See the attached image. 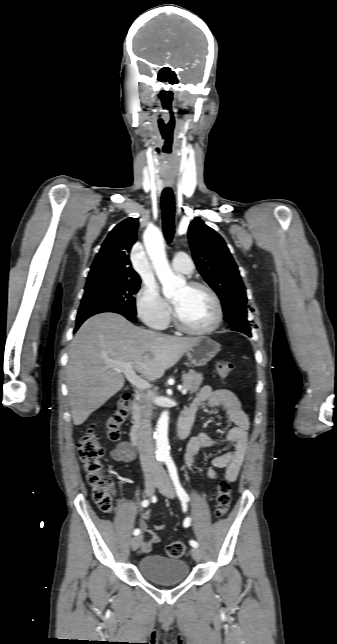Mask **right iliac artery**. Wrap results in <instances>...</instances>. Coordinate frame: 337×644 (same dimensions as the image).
Returning a JSON list of instances; mask_svg holds the SVG:
<instances>
[{"label":"right iliac artery","mask_w":337,"mask_h":644,"mask_svg":"<svg viewBox=\"0 0 337 644\" xmlns=\"http://www.w3.org/2000/svg\"><path fill=\"white\" fill-rule=\"evenodd\" d=\"M141 505H142L143 507H147V506L149 505V500H147V499H146V500H143V501H142V503H141ZM133 534H134V535H139V534H140V530H139V529H135V530L133 531Z\"/></svg>","instance_id":"1"}]
</instances>
